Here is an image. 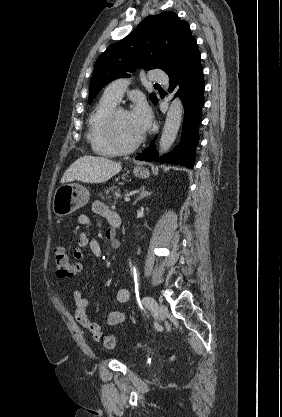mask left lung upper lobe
<instances>
[{"label": "left lung upper lobe", "instance_id": "obj_1", "mask_svg": "<svg viewBox=\"0 0 282 417\" xmlns=\"http://www.w3.org/2000/svg\"><path fill=\"white\" fill-rule=\"evenodd\" d=\"M194 39L189 24L174 12L146 17L132 33L110 45L96 61L89 104L104 85L116 78L128 77L140 67L146 70L160 68L166 72L176 56ZM150 97L156 104V95Z\"/></svg>", "mask_w": 282, "mask_h": 417}]
</instances>
